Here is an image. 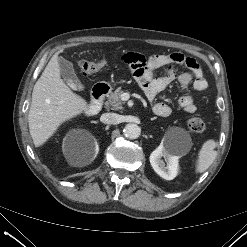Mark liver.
Segmentation results:
<instances>
[{"label":"liver","mask_w":247,"mask_h":247,"mask_svg":"<svg viewBox=\"0 0 247 247\" xmlns=\"http://www.w3.org/2000/svg\"><path fill=\"white\" fill-rule=\"evenodd\" d=\"M56 52L35 83L28 115L29 131L36 147L43 145L59 126L87 110L88 103L61 79ZM74 166H82L74 163Z\"/></svg>","instance_id":"6515ba94"}]
</instances>
